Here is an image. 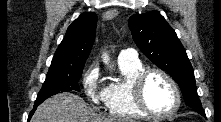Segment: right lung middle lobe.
Instances as JSON below:
<instances>
[{
	"label": "right lung middle lobe",
	"instance_id": "dd1d6c3e",
	"mask_svg": "<svg viewBox=\"0 0 221 122\" xmlns=\"http://www.w3.org/2000/svg\"><path fill=\"white\" fill-rule=\"evenodd\" d=\"M84 64L77 66H50L45 82L40 90L36 104H41L48 97L66 91H80L78 81L82 75Z\"/></svg>",
	"mask_w": 221,
	"mask_h": 122
}]
</instances>
